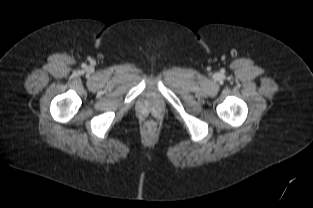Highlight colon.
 Listing matches in <instances>:
<instances>
[{
	"label": "colon",
	"mask_w": 313,
	"mask_h": 208,
	"mask_svg": "<svg viewBox=\"0 0 313 208\" xmlns=\"http://www.w3.org/2000/svg\"><path fill=\"white\" fill-rule=\"evenodd\" d=\"M157 128V125L154 121H148L146 124H145V129L146 131L148 132H154Z\"/></svg>",
	"instance_id": "colon-1"
}]
</instances>
